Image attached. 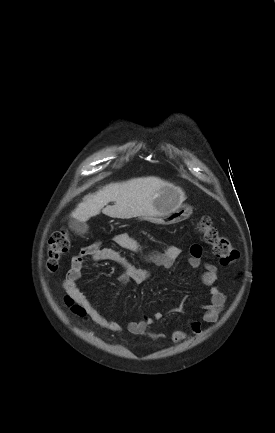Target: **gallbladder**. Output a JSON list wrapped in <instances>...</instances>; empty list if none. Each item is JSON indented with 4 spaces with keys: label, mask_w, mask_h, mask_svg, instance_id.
<instances>
[{
    "label": "gallbladder",
    "mask_w": 275,
    "mask_h": 433,
    "mask_svg": "<svg viewBox=\"0 0 275 433\" xmlns=\"http://www.w3.org/2000/svg\"><path fill=\"white\" fill-rule=\"evenodd\" d=\"M70 228L79 234H85L88 230V226L85 222L75 219L70 221Z\"/></svg>",
    "instance_id": "bac80fb5"
}]
</instances>
